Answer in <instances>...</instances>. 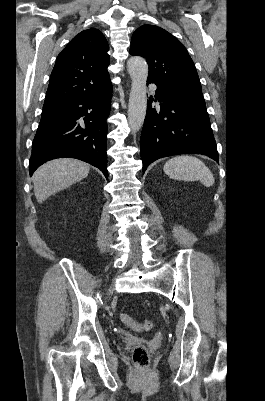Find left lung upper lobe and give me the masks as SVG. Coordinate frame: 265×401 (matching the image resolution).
Masks as SVG:
<instances>
[{
	"label": "left lung upper lobe",
	"instance_id": "left-lung-upper-lobe-1",
	"mask_svg": "<svg viewBox=\"0 0 265 401\" xmlns=\"http://www.w3.org/2000/svg\"><path fill=\"white\" fill-rule=\"evenodd\" d=\"M131 55L146 58L148 81L158 87L202 92L195 65L184 45L166 30L143 25L133 34Z\"/></svg>",
	"mask_w": 265,
	"mask_h": 401
}]
</instances>
